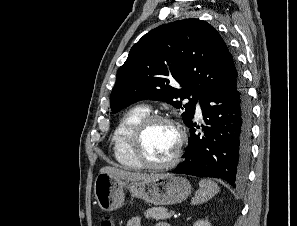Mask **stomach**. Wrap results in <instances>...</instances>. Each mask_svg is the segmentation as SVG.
I'll return each instance as SVG.
<instances>
[{"label":"stomach","instance_id":"obj_1","mask_svg":"<svg viewBox=\"0 0 297 226\" xmlns=\"http://www.w3.org/2000/svg\"><path fill=\"white\" fill-rule=\"evenodd\" d=\"M125 190L132 197L154 205H169L184 201L191 193L189 181L172 174L143 181L117 179L109 173H100L94 183V195L100 208L113 211L123 206Z\"/></svg>","mask_w":297,"mask_h":226}]
</instances>
